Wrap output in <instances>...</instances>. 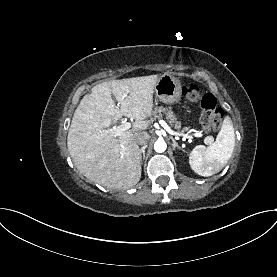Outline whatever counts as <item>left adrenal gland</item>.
I'll use <instances>...</instances> for the list:
<instances>
[{"instance_id":"left-adrenal-gland-1","label":"left adrenal gland","mask_w":277,"mask_h":277,"mask_svg":"<svg viewBox=\"0 0 277 277\" xmlns=\"http://www.w3.org/2000/svg\"><path fill=\"white\" fill-rule=\"evenodd\" d=\"M170 138H171V140H172V142H173V144H172L173 150H175L176 148H178L179 150H181V151L184 152V150L176 143V141L174 140V138H173V137H170Z\"/></svg>"}]
</instances>
